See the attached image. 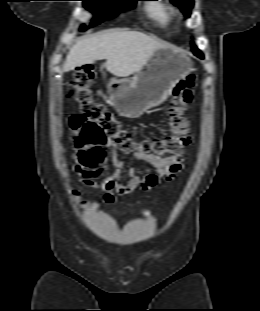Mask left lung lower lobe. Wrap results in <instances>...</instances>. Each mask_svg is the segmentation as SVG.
Returning <instances> with one entry per match:
<instances>
[{
	"instance_id": "left-lung-lower-lobe-1",
	"label": "left lung lower lobe",
	"mask_w": 260,
	"mask_h": 311,
	"mask_svg": "<svg viewBox=\"0 0 260 311\" xmlns=\"http://www.w3.org/2000/svg\"><path fill=\"white\" fill-rule=\"evenodd\" d=\"M196 56H198L199 58H202L203 59V56L202 55H199V54H196L194 53Z\"/></svg>"
}]
</instances>
